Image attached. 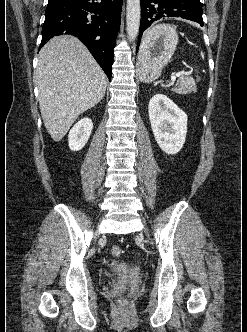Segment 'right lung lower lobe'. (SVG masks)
Listing matches in <instances>:
<instances>
[{
    "label": "right lung lower lobe",
    "mask_w": 247,
    "mask_h": 332,
    "mask_svg": "<svg viewBox=\"0 0 247 332\" xmlns=\"http://www.w3.org/2000/svg\"><path fill=\"white\" fill-rule=\"evenodd\" d=\"M96 1L49 0L40 47L54 36L74 35L89 49L111 80L123 0Z\"/></svg>",
    "instance_id": "1"
}]
</instances>
